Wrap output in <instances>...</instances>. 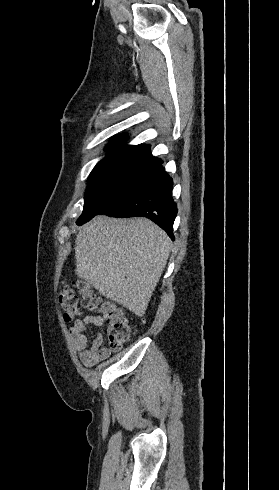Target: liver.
Masks as SVG:
<instances>
[{
  "label": "liver",
  "instance_id": "6515ba94",
  "mask_svg": "<svg viewBox=\"0 0 279 490\" xmlns=\"http://www.w3.org/2000/svg\"><path fill=\"white\" fill-rule=\"evenodd\" d=\"M74 250L78 278L142 318L167 264L170 240L147 218L96 216L82 226Z\"/></svg>",
  "mask_w": 279,
  "mask_h": 490
}]
</instances>
